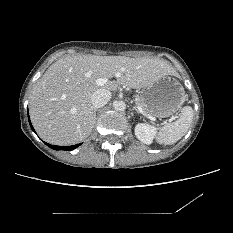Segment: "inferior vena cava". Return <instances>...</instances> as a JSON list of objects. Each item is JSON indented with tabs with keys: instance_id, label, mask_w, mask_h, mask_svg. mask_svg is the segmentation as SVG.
Returning <instances> with one entry per match:
<instances>
[{
	"instance_id": "1",
	"label": "inferior vena cava",
	"mask_w": 233,
	"mask_h": 233,
	"mask_svg": "<svg viewBox=\"0 0 233 233\" xmlns=\"http://www.w3.org/2000/svg\"><path fill=\"white\" fill-rule=\"evenodd\" d=\"M111 99V92L107 89H99L92 94L91 104L93 108L105 106Z\"/></svg>"
}]
</instances>
